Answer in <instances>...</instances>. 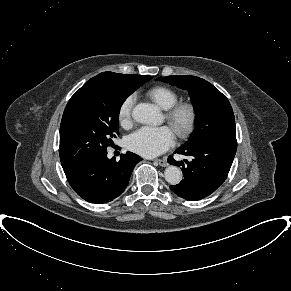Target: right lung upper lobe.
Listing matches in <instances>:
<instances>
[{"label":"right lung upper lobe","instance_id":"1","mask_svg":"<svg viewBox=\"0 0 291 291\" xmlns=\"http://www.w3.org/2000/svg\"><path fill=\"white\" fill-rule=\"evenodd\" d=\"M146 77L148 76L136 75V74L128 75V74H119V73H112V72H103L91 78L86 83L100 81V82H109V83H120L126 86H137Z\"/></svg>","mask_w":291,"mask_h":291}]
</instances>
